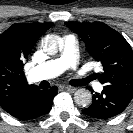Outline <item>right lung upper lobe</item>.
<instances>
[{"label":"right lung upper lobe","instance_id":"obj_1","mask_svg":"<svg viewBox=\"0 0 133 133\" xmlns=\"http://www.w3.org/2000/svg\"><path fill=\"white\" fill-rule=\"evenodd\" d=\"M52 25L14 24L0 36V104L7 112L25 107L39 91L27 84L23 66L38 38Z\"/></svg>","mask_w":133,"mask_h":133}]
</instances>
